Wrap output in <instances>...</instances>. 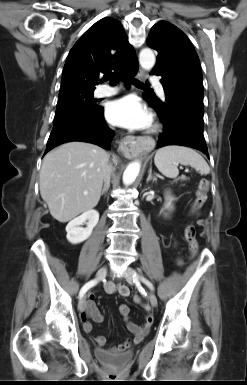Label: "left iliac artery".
I'll list each match as a JSON object with an SVG mask.
<instances>
[{
	"instance_id": "left-iliac-artery-1",
	"label": "left iliac artery",
	"mask_w": 247,
	"mask_h": 385,
	"mask_svg": "<svg viewBox=\"0 0 247 385\" xmlns=\"http://www.w3.org/2000/svg\"><path fill=\"white\" fill-rule=\"evenodd\" d=\"M141 280L151 289V290H154V287L152 285V283L150 281H148L147 279H145L144 277H141Z\"/></svg>"
}]
</instances>
